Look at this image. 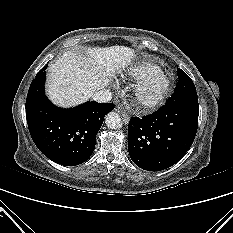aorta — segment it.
Instances as JSON below:
<instances>
[{
  "mask_svg": "<svg viewBox=\"0 0 233 233\" xmlns=\"http://www.w3.org/2000/svg\"><path fill=\"white\" fill-rule=\"evenodd\" d=\"M105 123L110 129H120L122 127V120L118 113L110 112L105 117Z\"/></svg>",
  "mask_w": 233,
  "mask_h": 233,
  "instance_id": "aorta-1",
  "label": "aorta"
}]
</instances>
